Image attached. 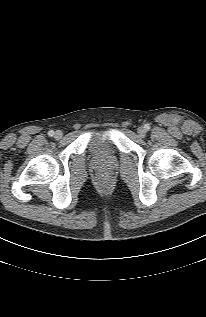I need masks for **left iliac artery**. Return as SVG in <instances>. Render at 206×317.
Returning a JSON list of instances; mask_svg holds the SVG:
<instances>
[{"label": "left iliac artery", "instance_id": "1", "mask_svg": "<svg viewBox=\"0 0 206 317\" xmlns=\"http://www.w3.org/2000/svg\"><path fill=\"white\" fill-rule=\"evenodd\" d=\"M144 128H145L146 130H149V129H150V125H149V124H145Z\"/></svg>", "mask_w": 206, "mask_h": 317}]
</instances>
